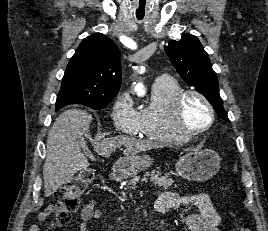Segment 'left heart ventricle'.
Listing matches in <instances>:
<instances>
[{"label": "left heart ventricle", "instance_id": "1", "mask_svg": "<svg viewBox=\"0 0 268 231\" xmlns=\"http://www.w3.org/2000/svg\"><path fill=\"white\" fill-rule=\"evenodd\" d=\"M210 120L207 106L194 96L188 97L182 107L181 126L187 131H193Z\"/></svg>", "mask_w": 268, "mask_h": 231}]
</instances>
